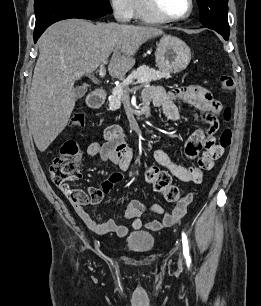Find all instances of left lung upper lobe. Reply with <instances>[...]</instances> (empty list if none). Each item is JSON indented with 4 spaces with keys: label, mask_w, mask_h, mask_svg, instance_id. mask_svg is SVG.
<instances>
[{
    "label": "left lung upper lobe",
    "mask_w": 261,
    "mask_h": 306,
    "mask_svg": "<svg viewBox=\"0 0 261 306\" xmlns=\"http://www.w3.org/2000/svg\"><path fill=\"white\" fill-rule=\"evenodd\" d=\"M204 27L229 32L228 0H197Z\"/></svg>",
    "instance_id": "1"
}]
</instances>
